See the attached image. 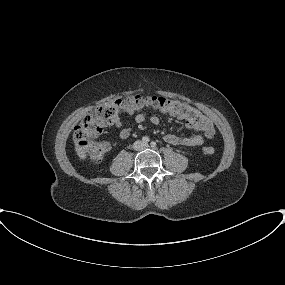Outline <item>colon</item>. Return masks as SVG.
I'll list each match as a JSON object with an SVG mask.
<instances>
[{"label":"colon","mask_w":285,"mask_h":285,"mask_svg":"<svg viewBox=\"0 0 285 285\" xmlns=\"http://www.w3.org/2000/svg\"><path fill=\"white\" fill-rule=\"evenodd\" d=\"M145 109H154L185 119L189 124L206 134L214 135L215 129L210 119L202 111L187 102L162 96L130 94L114 102L101 104L93 112L86 115L74 128V139L87 154L90 162L99 163L109 151L108 143L96 141L103 129L113 125L121 112L133 113ZM203 152L211 155L214 153V147L205 146Z\"/></svg>","instance_id":"5ec220e1"}]
</instances>
